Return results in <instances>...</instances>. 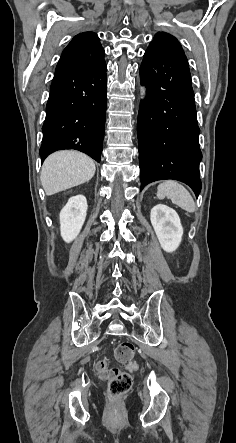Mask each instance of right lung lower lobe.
Here are the masks:
<instances>
[{
    "instance_id": "98d812e1",
    "label": "right lung lower lobe",
    "mask_w": 236,
    "mask_h": 443,
    "mask_svg": "<svg viewBox=\"0 0 236 443\" xmlns=\"http://www.w3.org/2000/svg\"><path fill=\"white\" fill-rule=\"evenodd\" d=\"M106 64L92 68L57 66L42 127L41 160L75 149L100 162L107 104Z\"/></svg>"
}]
</instances>
